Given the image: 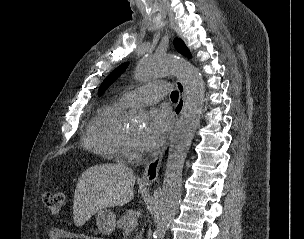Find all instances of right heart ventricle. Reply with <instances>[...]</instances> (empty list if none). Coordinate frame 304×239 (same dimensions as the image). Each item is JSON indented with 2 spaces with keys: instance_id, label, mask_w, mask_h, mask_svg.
Instances as JSON below:
<instances>
[{
  "instance_id": "1",
  "label": "right heart ventricle",
  "mask_w": 304,
  "mask_h": 239,
  "mask_svg": "<svg viewBox=\"0 0 304 239\" xmlns=\"http://www.w3.org/2000/svg\"><path fill=\"white\" fill-rule=\"evenodd\" d=\"M127 107L121 100L102 107L86 127L83 136L84 147L105 159L121 160L126 133L121 115Z\"/></svg>"
}]
</instances>
